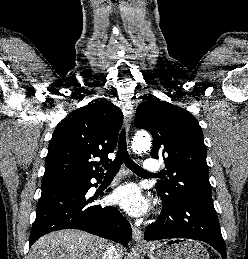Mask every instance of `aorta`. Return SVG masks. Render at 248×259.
Segmentation results:
<instances>
[{
  "label": "aorta",
  "mask_w": 248,
  "mask_h": 259,
  "mask_svg": "<svg viewBox=\"0 0 248 259\" xmlns=\"http://www.w3.org/2000/svg\"><path fill=\"white\" fill-rule=\"evenodd\" d=\"M133 151L142 152L151 148V142L146 134H137L132 142Z\"/></svg>",
  "instance_id": "aorta-1"
}]
</instances>
